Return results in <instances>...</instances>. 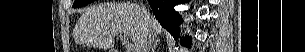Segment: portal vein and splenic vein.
I'll return each mask as SVG.
<instances>
[{"label": "portal vein and splenic vein", "mask_w": 305, "mask_h": 52, "mask_svg": "<svg viewBox=\"0 0 305 52\" xmlns=\"http://www.w3.org/2000/svg\"><path fill=\"white\" fill-rule=\"evenodd\" d=\"M120 39L126 45V51L133 52V46L129 45V43L127 44V39H128L127 35L120 34Z\"/></svg>", "instance_id": "portal-vein-and-splenic-vein-1"}]
</instances>
